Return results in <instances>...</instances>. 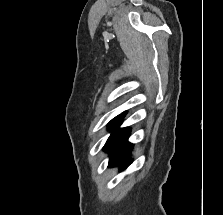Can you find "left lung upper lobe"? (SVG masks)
<instances>
[{
    "mask_svg": "<svg viewBox=\"0 0 223 215\" xmlns=\"http://www.w3.org/2000/svg\"><path fill=\"white\" fill-rule=\"evenodd\" d=\"M124 113L120 114L119 116H117L116 118H114L110 124H109V128H114L124 117Z\"/></svg>",
    "mask_w": 223,
    "mask_h": 215,
    "instance_id": "left-lung-upper-lobe-1",
    "label": "left lung upper lobe"
}]
</instances>
